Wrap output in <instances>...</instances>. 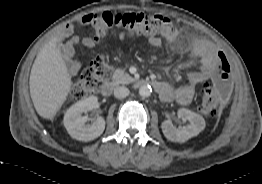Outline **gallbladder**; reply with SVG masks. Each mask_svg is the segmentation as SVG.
<instances>
[{"mask_svg": "<svg viewBox=\"0 0 262 184\" xmlns=\"http://www.w3.org/2000/svg\"><path fill=\"white\" fill-rule=\"evenodd\" d=\"M66 59H67V60H70V58H69V56H68V55H66Z\"/></svg>", "mask_w": 262, "mask_h": 184, "instance_id": "bac80fb5", "label": "gallbladder"}]
</instances>
